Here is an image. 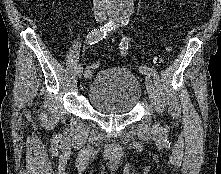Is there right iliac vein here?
<instances>
[{"instance_id":"obj_1","label":"right iliac vein","mask_w":221,"mask_h":174,"mask_svg":"<svg viewBox=\"0 0 221 174\" xmlns=\"http://www.w3.org/2000/svg\"><path fill=\"white\" fill-rule=\"evenodd\" d=\"M97 22L101 23L102 20H97ZM82 73H83V66H82V64H79V66L77 68V77L81 78Z\"/></svg>"}]
</instances>
